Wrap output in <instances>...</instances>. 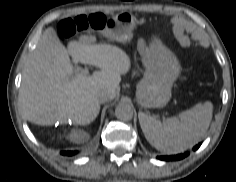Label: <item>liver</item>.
<instances>
[{"label": "liver", "mask_w": 236, "mask_h": 182, "mask_svg": "<svg viewBox=\"0 0 236 182\" xmlns=\"http://www.w3.org/2000/svg\"><path fill=\"white\" fill-rule=\"evenodd\" d=\"M74 62L93 65L100 71L92 75L75 74ZM131 67L130 57L121 48L96 44L83 36L66 48L53 28L41 35L27 60L19 100L24 117L41 126L71 120L78 125L92 123L99 114V91L108 90L115 98L121 75Z\"/></svg>", "instance_id": "liver-1"}]
</instances>
